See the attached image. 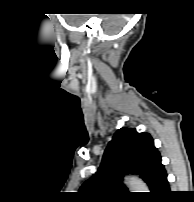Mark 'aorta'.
Instances as JSON below:
<instances>
[{
  "mask_svg": "<svg viewBox=\"0 0 194 202\" xmlns=\"http://www.w3.org/2000/svg\"><path fill=\"white\" fill-rule=\"evenodd\" d=\"M125 183L132 189L135 191H146L147 187L146 185L139 179L137 178H127Z\"/></svg>",
  "mask_w": 194,
  "mask_h": 202,
  "instance_id": "1",
  "label": "aorta"
}]
</instances>
